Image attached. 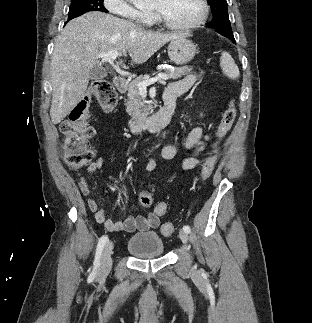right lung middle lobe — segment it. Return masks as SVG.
Segmentation results:
<instances>
[{"instance_id": "1", "label": "right lung middle lobe", "mask_w": 312, "mask_h": 323, "mask_svg": "<svg viewBox=\"0 0 312 323\" xmlns=\"http://www.w3.org/2000/svg\"><path fill=\"white\" fill-rule=\"evenodd\" d=\"M88 11L107 12L103 6V0H72L68 21Z\"/></svg>"}]
</instances>
